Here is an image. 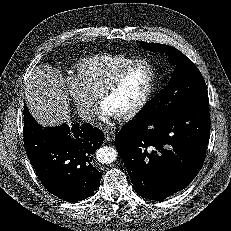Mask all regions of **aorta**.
Returning <instances> with one entry per match:
<instances>
[{
    "mask_svg": "<svg viewBox=\"0 0 231 231\" xmlns=\"http://www.w3.org/2000/svg\"><path fill=\"white\" fill-rule=\"evenodd\" d=\"M118 156V152L115 148L110 146H103L96 152V158L100 163L110 164L113 163Z\"/></svg>",
    "mask_w": 231,
    "mask_h": 231,
    "instance_id": "1",
    "label": "aorta"
}]
</instances>
